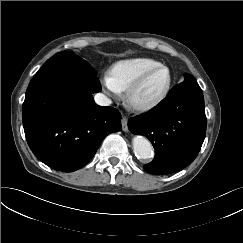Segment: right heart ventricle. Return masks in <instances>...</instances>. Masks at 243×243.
Returning a JSON list of instances; mask_svg holds the SVG:
<instances>
[{
    "label": "right heart ventricle",
    "instance_id": "right-heart-ventricle-1",
    "mask_svg": "<svg viewBox=\"0 0 243 243\" xmlns=\"http://www.w3.org/2000/svg\"><path fill=\"white\" fill-rule=\"evenodd\" d=\"M158 65H160V62L152 58L121 60L110 69L108 78L119 92L126 91L140 75Z\"/></svg>",
    "mask_w": 243,
    "mask_h": 243
}]
</instances>
